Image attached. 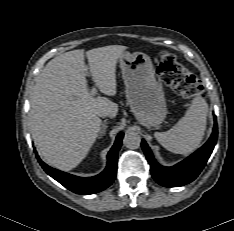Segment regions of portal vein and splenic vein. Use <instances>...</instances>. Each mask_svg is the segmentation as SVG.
Segmentation results:
<instances>
[{"mask_svg":"<svg viewBox=\"0 0 234 231\" xmlns=\"http://www.w3.org/2000/svg\"><path fill=\"white\" fill-rule=\"evenodd\" d=\"M96 94H97V89L95 87H93L91 89L90 95L95 96Z\"/></svg>","mask_w":234,"mask_h":231,"instance_id":"1","label":"portal vein and splenic vein"}]
</instances>
